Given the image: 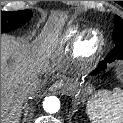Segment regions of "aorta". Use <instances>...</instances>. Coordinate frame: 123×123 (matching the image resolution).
Masks as SVG:
<instances>
[{
    "label": "aorta",
    "mask_w": 123,
    "mask_h": 123,
    "mask_svg": "<svg viewBox=\"0 0 123 123\" xmlns=\"http://www.w3.org/2000/svg\"><path fill=\"white\" fill-rule=\"evenodd\" d=\"M43 109L50 114L58 112L60 109V100L56 96L46 97L43 101Z\"/></svg>",
    "instance_id": "762f6f07"
}]
</instances>
